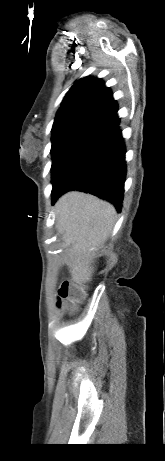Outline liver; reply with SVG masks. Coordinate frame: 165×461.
Returning a JSON list of instances; mask_svg holds the SVG:
<instances>
[{
  "label": "liver",
  "mask_w": 165,
  "mask_h": 461,
  "mask_svg": "<svg viewBox=\"0 0 165 461\" xmlns=\"http://www.w3.org/2000/svg\"><path fill=\"white\" fill-rule=\"evenodd\" d=\"M55 214L58 235L68 248L72 278L77 283H86L94 273V255L89 250H97L109 237L116 210L93 195L72 191L59 198Z\"/></svg>",
  "instance_id": "1"
}]
</instances>
